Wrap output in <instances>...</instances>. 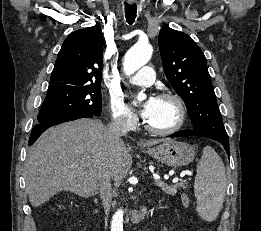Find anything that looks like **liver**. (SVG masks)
Returning a JSON list of instances; mask_svg holds the SVG:
<instances>
[{"label": "liver", "mask_w": 261, "mask_h": 231, "mask_svg": "<svg viewBox=\"0 0 261 231\" xmlns=\"http://www.w3.org/2000/svg\"><path fill=\"white\" fill-rule=\"evenodd\" d=\"M166 140H148L153 146ZM132 166V157L120 138L108 139L100 121L79 119L45 131L30 148L25 164V181L32 206L38 207L60 191L94 196L103 169L120 182Z\"/></svg>", "instance_id": "6515ba94"}]
</instances>
